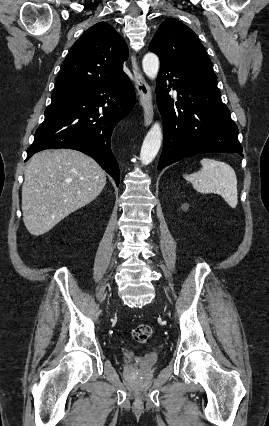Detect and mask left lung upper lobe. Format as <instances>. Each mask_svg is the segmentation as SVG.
Returning a JSON list of instances; mask_svg holds the SVG:
<instances>
[{"label": "left lung upper lobe", "instance_id": "5c2ea615", "mask_svg": "<svg viewBox=\"0 0 269 426\" xmlns=\"http://www.w3.org/2000/svg\"><path fill=\"white\" fill-rule=\"evenodd\" d=\"M149 50L159 56L160 62L173 63L196 73L217 78L197 35L177 19L169 18L160 24Z\"/></svg>", "mask_w": 269, "mask_h": 426}]
</instances>
